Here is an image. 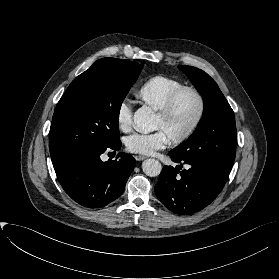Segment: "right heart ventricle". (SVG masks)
Instances as JSON below:
<instances>
[{
	"mask_svg": "<svg viewBox=\"0 0 279 279\" xmlns=\"http://www.w3.org/2000/svg\"><path fill=\"white\" fill-rule=\"evenodd\" d=\"M184 84L172 77L156 75L146 80L137 92L138 98L158 111L164 105L168 96Z\"/></svg>",
	"mask_w": 279,
	"mask_h": 279,
	"instance_id": "right-heart-ventricle-1",
	"label": "right heart ventricle"
}]
</instances>
